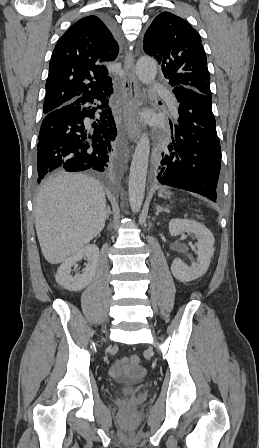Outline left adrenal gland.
<instances>
[{
	"label": "left adrenal gland",
	"instance_id": "left-adrenal-gland-1",
	"mask_svg": "<svg viewBox=\"0 0 259 448\" xmlns=\"http://www.w3.org/2000/svg\"><path fill=\"white\" fill-rule=\"evenodd\" d=\"M156 208H157L156 216H158L159 212H167V214H169L170 212L168 208H161V206H156Z\"/></svg>",
	"mask_w": 259,
	"mask_h": 448
}]
</instances>
